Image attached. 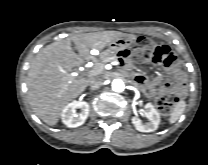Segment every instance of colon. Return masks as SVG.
I'll list each match as a JSON object with an SVG mask.
<instances>
[{
  "mask_svg": "<svg viewBox=\"0 0 208 165\" xmlns=\"http://www.w3.org/2000/svg\"><path fill=\"white\" fill-rule=\"evenodd\" d=\"M134 56L140 62H152L161 64L167 68H174L177 58L171 49L166 45H159L151 39L141 36L137 39L134 48ZM182 91L180 86L173 91V86L167 84L165 90L157 97L155 105L162 114H170L175 104L179 101V93Z\"/></svg>",
  "mask_w": 208,
  "mask_h": 165,
  "instance_id": "colon-1",
  "label": "colon"
}]
</instances>
